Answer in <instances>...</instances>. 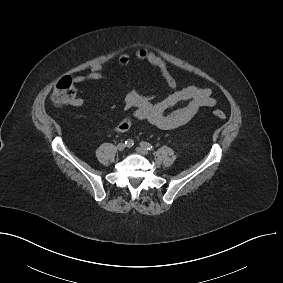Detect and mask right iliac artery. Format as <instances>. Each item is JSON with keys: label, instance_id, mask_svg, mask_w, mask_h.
<instances>
[{"label": "right iliac artery", "instance_id": "1", "mask_svg": "<svg viewBox=\"0 0 283 283\" xmlns=\"http://www.w3.org/2000/svg\"><path fill=\"white\" fill-rule=\"evenodd\" d=\"M124 143H125V145H126L127 147H131V146L134 145V142H133L132 139H128V140H126Z\"/></svg>", "mask_w": 283, "mask_h": 283}]
</instances>
